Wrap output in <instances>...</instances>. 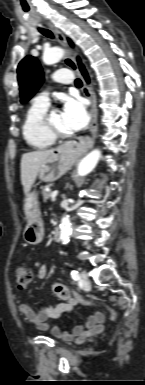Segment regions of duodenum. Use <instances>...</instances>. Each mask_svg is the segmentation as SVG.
I'll use <instances>...</instances> for the list:
<instances>
[{
  "mask_svg": "<svg viewBox=\"0 0 145 385\" xmlns=\"http://www.w3.org/2000/svg\"><path fill=\"white\" fill-rule=\"evenodd\" d=\"M59 235H60V229H59V227H56L53 230V239H54V241H58Z\"/></svg>",
  "mask_w": 145,
  "mask_h": 385,
  "instance_id": "410a0bca",
  "label": "duodenum"
}]
</instances>
